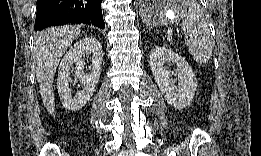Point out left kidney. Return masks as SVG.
<instances>
[{
    "mask_svg": "<svg viewBox=\"0 0 261 156\" xmlns=\"http://www.w3.org/2000/svg\"><path fill=\"white\" fill-rule=\"evenodd\" d=\"M169 62L177 66L175 72L165 68ZM149 65L155 82L170 105L183 109L191 104L198 83L184 57L165 47H156L151 51ZM171 75L177 78L173 79Z\"/></svg>",
    "mask_w": 261,
    "mask_h": 156,
    "instance_id": "obj_1",
    "label": "left kidney"
}]
</instances>
